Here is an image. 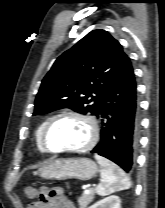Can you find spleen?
I'll use <instances>...</instances> for the list:
<instances>
[{
    "instance_id": "3e777b00",
    "label": "spleen",
    "mask_w": 165,
    "mask_h": 208,
    "mask_svg": "<svg viewBox=\"0 0 165 208\" xmlns=\"http://www.w3.org/2000/svg\"><path fill=\"white\" fill-rule=\"evenodd\" d=\"M94 157L102 167L101 183L95 189L98 195L106 196L131 187L130 179L120 167L100 155Z\"/></svg>"
}]
</instances>
